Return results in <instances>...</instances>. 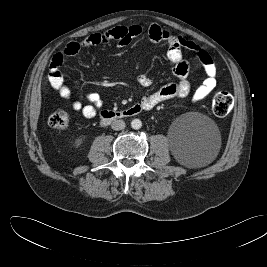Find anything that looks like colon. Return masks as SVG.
Returning <instances> with one entry per match:
<instances>
[{"mask_svg": "<svg viewBox=\"0 0 267 267\" xmlns=\"http://www.w3.org/2000/svg\"><path fill=\"white\" fill-rule=\"evenodd\" d=\"M233 105L234 99L229 92L222 90L214 94L212 110L217 117L227 116L231 112ZM48 122L52 128L65 129L69 124V116L65 111L57 110L50 115Z\"/></svg>", "mask_w": 267, "mask_h": 267, "instance_id": "obj_1", "label": "colon"}]
</instances>
